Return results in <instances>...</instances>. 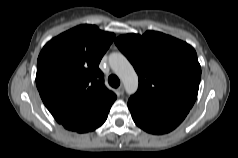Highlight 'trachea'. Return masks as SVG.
<instances>
[{
  "mask_svg": "<svg viewBox=\"0 0 238 158\" xmlns=\"http://www.w3.org/2000/svg\"><path fill=\"white\" fill-rule=\"evenodd\" d=\"M108 82L114 88L120 85V80L116 75H110L108 78Z\"/></svg>",
  "mask_w": 238,
  "mask_h": 158,
  "instance_id": "obj_1",
  "label": "trachea"
}]
</instances>
